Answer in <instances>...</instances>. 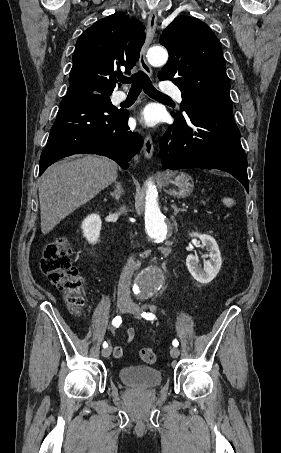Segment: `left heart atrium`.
I'll use <instances>...</instances> for the list:
<instances>
[{
	"mask_svg": "<svg viewBox=\"0 0 281 453\" xmlns=\"http://www.w3.org/2000/svg\"><path fill=\"white\" fill-rule=\"evenodd\" d=\"M137 120L146 127H152L160 122L161 117L157 108L153 105H149L139 112Z\"/></svg>",
	"mask_w": 281,
	"mask_h": 453,
	"instance_id": "1",
	"label": "left heart atrium"
}]
</instances>
